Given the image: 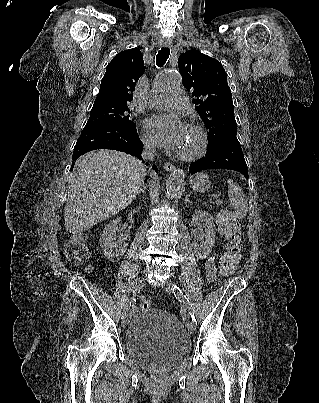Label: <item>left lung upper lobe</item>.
<instances>
[{"instance_id": "left-lung-upper-lobe-1", "label": "left lung upper lobe", "mask_w": 319, "mask_h": 403, "mask_svg": "<svg viewBox=\"0 0 319 403\" xmlns=\"http://www.w3.org/2000/svg\"><path fill=\"white\" fill-rule=\"evenodd\" d=\"M179 71L184 87L195 97L192 102L209 129V147L236 136L232 94L222 64L198 50L181 54Z\"/></svg>"}]
</instances>
